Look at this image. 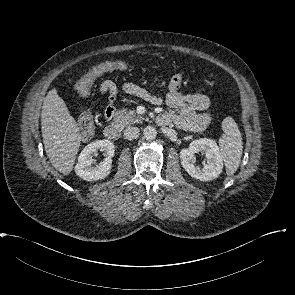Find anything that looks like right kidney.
I'll list each match as a JSON object with an SVG mask.
<instances>
[{
  "mask_svg": "<svg viewBox=\"0 0 295 295\" xmlns=\"http://www.w3.org/2000/svg\"><path fill=\"white\" fill-rule=\"evenodd\" d=\"M104 151L106 158L95 167L92 166L93 154ZM114 144L109 140H97L88 144L80 153L78 163L75 166L76 174L87 181H96L109 175L111 171L112 157L114 156Z\"/></svg>",
  "mask_w": 295,
  "mask_h": 295,
  "instance_id": "right-kidney-1",
  "label": "right kidney"
}]
</instances>
